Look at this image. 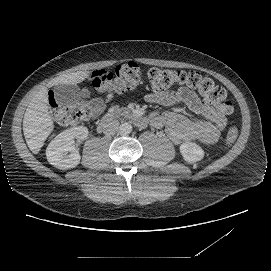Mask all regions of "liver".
I'll use <instances>...</instances> for the list:
<instances>
[{"instance_id": "6515ba94", "label": "liver", "mask_w": 271, "mask_h": 271, "mask_svg": "<svg viewBox=\"0 0 271 271\" xmlns=\"http://www.w3.org/2000/svg\"><path fill=\"white\" fill-rule=\"evenodd\" d=\"M89 71H77L53 78L48 87L58 85H76L89 77ZM54 129L48 113V88L43 86L32 98L23 118V133L28 148L38 154L45 140Z\"/></svg>"}]
</instances>
